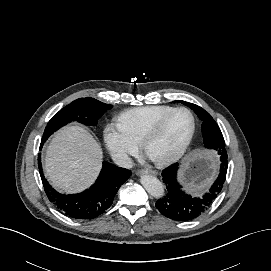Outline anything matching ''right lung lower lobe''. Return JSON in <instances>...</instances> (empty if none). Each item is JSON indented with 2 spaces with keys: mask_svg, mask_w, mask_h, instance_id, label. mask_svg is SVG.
I'll use <instances>...</instances> for the list:
<instances>
[{
  "mask_svg": "<svg viewBox=\"0 0 271 271\" xmlns=\"http://www.w3.org/2000/svg\"><path fill=\"white\" fill-rule=\"evenodd\" d=\"M43 143L41 142L42 147ZM39 171L48 199L66 215L75 219H93L105 212L112 204L119 187L130 177L131 171L103 162L96 183L88 190L74 195H61L45 179L40 154Z\"/></svg>",
  "mask_w": 271,
  "mask_h": 271,
  "instance_id": "right-lung-lower-lobe-1",
  "label": "right lung lower lobe"
}]
</instances>
